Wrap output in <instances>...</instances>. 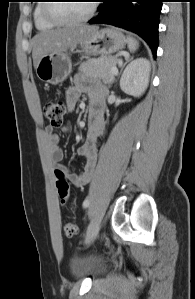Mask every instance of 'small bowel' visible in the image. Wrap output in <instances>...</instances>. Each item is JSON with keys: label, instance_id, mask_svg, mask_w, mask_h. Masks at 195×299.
Returning <instances> with one entry per match:
<instances>
[{"label": "small bowel", "instance_id": "1", "mask_svg": "<svg viewBox=\"0 0 195 299\" xmlns=\"http://www.w3.org/2000/svg\"><path fill=\"white\" fill-rule=\"evenodd\" d=\"M83 94L87 95L89 99V114L85 141L77 148V154L85 159L80 173H72L67 167L61 164L64 155L58 146V136L54 133L53 127L47 126L44 130L48 150L56 170L63 172L65 177L75 187H83L90 181L97 163L96 141L105 129L103 118L104 99L106 95L105 86L90 81L82 75L77 76L75 84L66 92V105L69 111L74 109ZM62 129L64 132H69L70 124L65 123Z\"/></svg>", "mask_w": 195, "mask_h": 299}]
</instances>
